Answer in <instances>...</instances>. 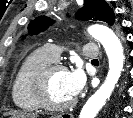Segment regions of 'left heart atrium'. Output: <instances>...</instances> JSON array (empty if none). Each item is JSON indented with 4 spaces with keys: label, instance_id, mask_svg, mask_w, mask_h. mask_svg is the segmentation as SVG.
I'll use <instances>...</instances> for the list:
<instances>
[{
    "label": "left heart atrium",
    "instance_id": "1",
    "mask_svg": "<svg viewBox=\"0 0 133 118\" xmlns=\"http://www.w3.org/2000/svg\"><path fill=\"white\" fill-rule=\"evenodd\" d=\"M85 76L81 69L67 71L66 86L68 93L73 98L78 96L85 86Z\"/></svg>",
    "mask_w": 133,
    "mask_h": 118
}]
</instances>
